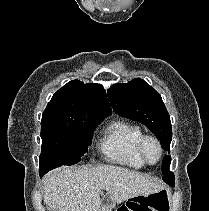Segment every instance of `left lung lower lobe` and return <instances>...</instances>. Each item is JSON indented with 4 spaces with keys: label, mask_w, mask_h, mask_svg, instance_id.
<instances>
[{
    "label": "left lung lower lobe",
    "mask_w": 209,
    "mask_h": 211,
    "mask_svg": "<svg viewBox=\"0 0 209 211\" xmlns=\"http://www.w3.org/2000/svg\"><path fill=\"white\" fill-rule=\"evenodd\" d=\"M164 180V179H163ZM166 183H168L170 186H174V177L172 179H165Z\"/></svg>",
    "instance_id": "0a47b994"
}]
</instances>
